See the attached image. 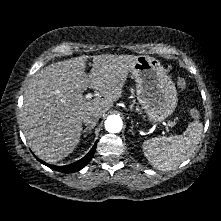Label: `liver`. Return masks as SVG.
<instances>
[{
  "mask_svg": "<svg viewBox=\"0 0 221 221\" xmlns=\"http://www.w3.org/2000/svg\"><path fill=\"white\" fill-rule=\"evenodd\" d=\"M88 56L59 61L37 72L24 94L21 124L31 150L42 160L57 162L71 154L80 141L82 118L109 111L123 92L133 55L93 56L90 75ZM87 88L103 98L86 101Z\"/></svg>",
  "mask_w": 221,
  "mask_h": 221,
  "instance_id": "6515ba94",
  "label": "liver"
}]
</instances>
